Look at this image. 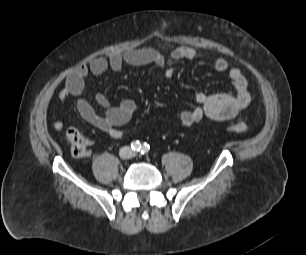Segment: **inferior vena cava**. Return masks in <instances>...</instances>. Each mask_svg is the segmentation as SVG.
I'll return each mask as SVG.
<instances>
[{"label":"inferior vena cava","mask_w":306,"mask_h":255,"mask_svg":"<svg viewBox=\"0 0 306 255\" xmlns=\"http://www.w3.org/2000/svg\"><path fill=\"white\" fill-rule=\"evenodd\" d=\"M120 156L122 158H130L133 156V151L129 147H123L120 149Z\"/></svg>","instance_id":"obj_1"}]
</instances>
